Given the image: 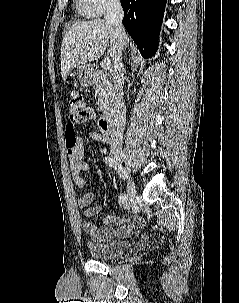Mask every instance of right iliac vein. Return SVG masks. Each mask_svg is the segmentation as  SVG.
I'll return each mask as SVG.
<instances>
[{"mask_svg":"<svg viewBox=\"0 0 239 303\" xmlns=\"http://www.w3.org/2000/svg\"><path fill=\"white\" fill-rule=\"evenodd\" d=\"M116 160L119 163H122V158L120 156H116ZM123 174H124L123 178L126 179L127 181V195H126L127 197L125 200L124 207L125 209H129L135 204V201L137 199V191L135 188V184L132 181L130 174L126 168H123Z\"/></svg>","mask_w":239,"mask_h":303,"instance_id":"63e3f726","label":"right iliac vein"}]
</instances>
